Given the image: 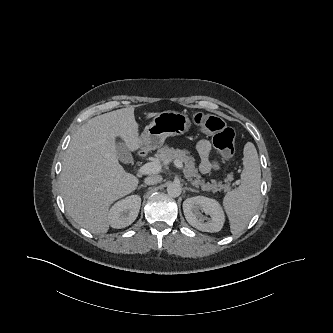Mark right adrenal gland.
<instances>
[{
  "mask_svg": "<svg viewBox=\"0 0 333 333\" xmlns=\"http://www.w3.org/2000/svg\"><path fill=\"white\" fill-rule=\"evenodd\" d=\"M143 187H147V185H146V184H142V185H140V186L138 187V189L143 188Z\"/></svg>",
  "mask_w": 333,
  "mask_h": 333,
  "instance_id": "2a0ac1e0",
  "label": "right adrenal gland"
}]
</instances>
